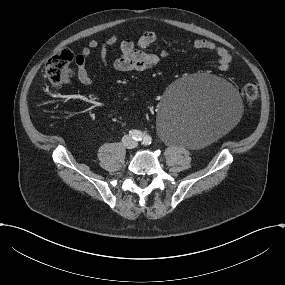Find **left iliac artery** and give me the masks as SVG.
<instances>
[{
	"instance_id": "1",
	"label": "left iliac artery",
	"mask_w": 285,
	"mask_h": 285,
	"mask_svg": "<svg viewBox=\"0 0 285 285\" xmlns=\"http://www.w3.org/2000/svg\"><path fill=\"white\" fill-rule=\"evenodd\" d=\"M143 144H144V145H150V144H151V137L148 136V135H145V136L143 137Z\"/></svg>"
}]
</instances>
